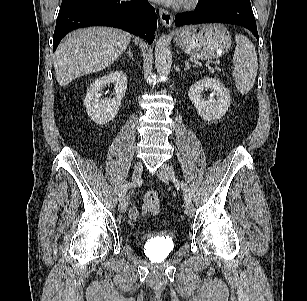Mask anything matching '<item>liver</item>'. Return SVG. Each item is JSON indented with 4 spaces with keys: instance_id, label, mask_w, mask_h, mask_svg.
Wrapping results in <instances>:
<instances>
[{
    "instance_id": "6515ba94",
    "label": "liver",
    "mask_w": 307,
    "mask_h": 301,
    "mask_svg": "<svg viewBox=\"0 0 307 301\" xmlns=\"http://www.w3.org/2000/svg\"><path fill=\"white\" fill-rule=\"evenodd\" d=\"M132 35L111 27L79 29L59 44L54 69L60 86L74 79L105 69L127 48Z\"/></svg>"
}]
</instances>
